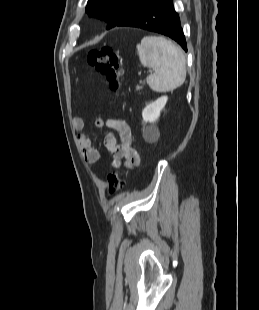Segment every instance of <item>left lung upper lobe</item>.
Returning a JSON list of instances; mask_svg holds the SVG:
<instances>
[{
    "instance_id": "1",
    "label": "left lung upper lobe",
    "mask_w": 259,
    "mask_h": 310,
    "mask_svg": "<svg viewBox=\"0 0 259 310\" xmlns=\"http://www.w3.org/2000/svg\"><path fill=\"white\" fill-rule=\"evenodd\" d=\"M149 0H88L86 13L108 23L107 29L113 28L131 9Z\"/></svg>"
}]
</instances>
